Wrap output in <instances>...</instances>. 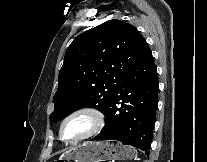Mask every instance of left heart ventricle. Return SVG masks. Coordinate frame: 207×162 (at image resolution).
Listing matches in <instances>:
<instances>
[{
    "instance_id": "obj_1",
    "label": "left heart ventricle",
    "mask_w": 207,
    "mask_h": 162,
    "mask_svg": "<svg viewBox=\"0 0 207 162\" xmlns=\"http://www.w3.org/2000/svg\"><path fill=\"white\" fill-rule=\"evenodd\" d=\"M92 127V119L88 115H80L70 120L64 127V138L75 139L85 134Z\"/></svg>"
}]
</instances>
